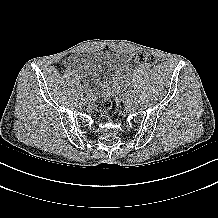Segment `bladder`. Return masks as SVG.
<instances>
[{"label":"bladder","instance_id":"obj_1","mask_svg":"<svg viewBox=\"0 0 218 218\" xmlns=\"http://www.w3.org/2000/svg\"><path fill=\"white\" fill-rule=\"evenodd\" d=\"M78 61L88 92L94 98L106 97L120 80L119 59L113 52L83 53Z\"/></svg>","mask_w":218,"mask_h":218}]
</instances>
